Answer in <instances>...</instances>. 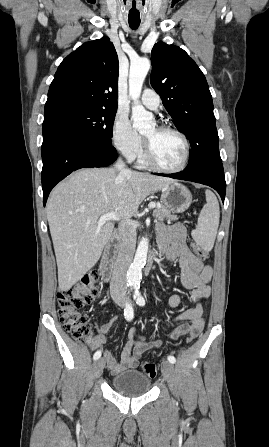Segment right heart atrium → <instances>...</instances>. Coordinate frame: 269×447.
Segmentation results:
<instances>
[{"label":"right heart atrium","instance_id":"obj_1","mask_svg":"<svg viewBox=\"0 0 269 447\" xmlns=\"http://www.w3.org/2000/svg\"><path fill=\"white\" fill-rule=\"evenodd\" d=\"M111 138L114 146L128 159L138 157L143 141L141 136L131 127L126 115L116 113L112 123Z\"/></svg>","mask_w":269,"mask_h":447}]
</instances>
